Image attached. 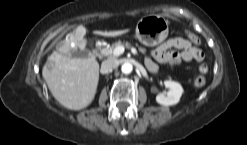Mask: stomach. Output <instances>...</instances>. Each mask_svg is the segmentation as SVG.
I'll return each instance as SVG.
<instances>
[{
  "label": "stomach",
  "instance_id": "0dacf381",
  "mask_svg": "<svg viewBox=\"0 0 247 145\" xmlns=\"http://www.w3.org/2000/svg\"><path fill=\"white\" fill-rule=\"evenodd\" d=\"M169 22L160 15L145 16L136 26V37L145 46H156L168 36Z\"/></svg>",
  "mask_w": 247,
  "mask_h": 145
}]
</instances>
